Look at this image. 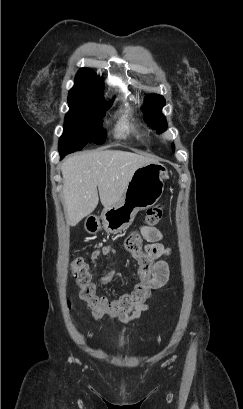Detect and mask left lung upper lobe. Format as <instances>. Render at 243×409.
<instances>
[{
  "mask_svg": "<svg viewBox=\"0 0 243 409\" xmlns=\"http://www.w3.org/2000/svg\"><path fill=\"white\" fill-rule=\"evenodd\" d=\"M165 105V99L161 95L151 94L145 98L143 112L148 124L158 132L165 131L167 127L166 118L161 113V109ZM174 150V145L172 144Z\"/></svg>",
  "mask_w": 243,
  "mask_h": 409,
  "instance_id": "left-lung-upper-lobe-1",
  "label": "left lung upper lobe"
}]
</instances>
